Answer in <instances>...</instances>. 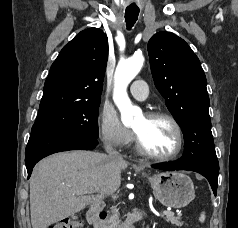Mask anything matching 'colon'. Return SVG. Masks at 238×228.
Wrapping results in <instances>:
<instances>
[{
  "label": "colon",
  "instance_id": "5ec220e1",
  "mask_svg": "<svg viewBox=\"0 0 238 228\" xmlns=\"http://www.w3.org/2000/svg\"><path fill=\"white\" fill-rule=\"evenodd\" d=\"M82 221L77 216H71L69 218L62 219L48 226L47 228H81ZM195 228V227H191Z\"/></svg>",
  "mask_w": 238,
  "mask_h": 228
}]
</instances>
